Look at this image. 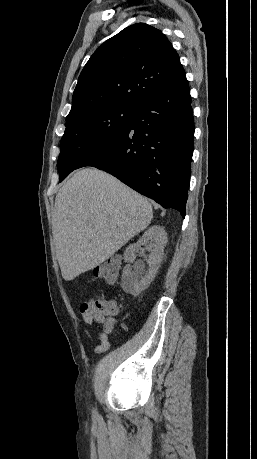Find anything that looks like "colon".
Wrapping results in <instances>:
<instances>
[{
  "mask_svg": "<svg viewBox=\"0 0 257 459\" xmlns=\"http://www.w3.org/2000/svg\"><path fill=\"white\" fill-rule=\"evenodd\" d=\"M120 259L111 258L98 266L94 272V277L103 279L108 282L115 280L120 268ZM80 309L82 312H91L96 318L106 320L112 313V305L110 301L103 298L91 299L84 301Z\"/></svg>",
  "mask_w": 257,
  "mask_h": 459,
  "instance_id": "5ec220e1",
  "label": "colon"
}]
</instances>
